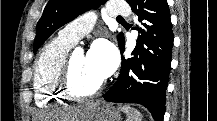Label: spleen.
I'll return each mask as SVG.
<instances>
[{
	"label": "spleen",
	"instance_id": "3e777b00",
	"mask_svg": "<svg viewBox=\"0 0 217 121\" xmlns=\"http://www.w3.org/2000/svg\"><path fill=\"white\" fill-rule=\"evenodd\" d=\"M121 110L126 113L127 121H142V115L137 109L129 106H123L121 107Z\"/></svg>",
	"mask_w": 217,
	"mask_h": 121
}]
</instances>
